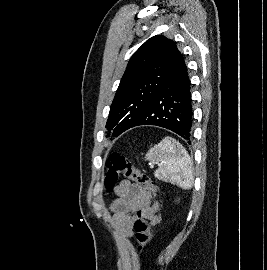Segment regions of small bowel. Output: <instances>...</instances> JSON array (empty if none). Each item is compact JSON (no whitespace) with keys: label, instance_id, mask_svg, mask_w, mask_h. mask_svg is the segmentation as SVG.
<instances>
[{"label":"small bowel","instance_id":"obj_1","mask_svg":"<svg viewBox=\"0 0 267 270\" xmlns=\"http://www.w3.org/2000/svg\"><path fill=\"white\" fill-rule=\"evenodd\" d=\"M116 199L111 204L113 220L119 234L126 240L134 236V225L139 217L158 223L157 205L152 203L151 194L144 188L123 180L115 189Z\"/></svg>","mask_w":267,"mask_h":270}]
</instances>
